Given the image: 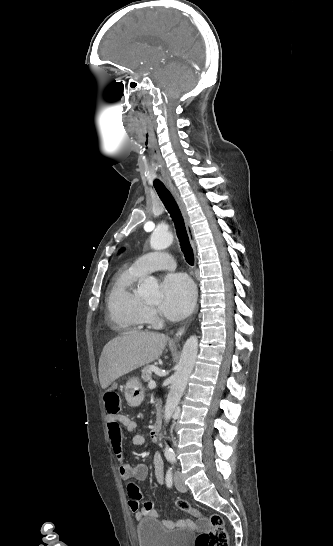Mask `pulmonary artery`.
Listing matches in <instances>:
<instances>
[{"label": "pulmonary artery", "mask_w": 333, "mask_h": 546, "mask_svg": "<svg viewBox=\"0 0 333 546\" xmlns=\"http://www.w3.org/2000/svg\"><path fill=\"white\" fill-rule=\"evenodd\" d=\"M132 266L142 274L157 270H173L176 266L174 258L166 252H151L138 257Z\"/></svg>", "instance_id": "obj_1"}]
</instances>
